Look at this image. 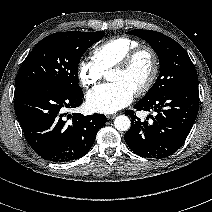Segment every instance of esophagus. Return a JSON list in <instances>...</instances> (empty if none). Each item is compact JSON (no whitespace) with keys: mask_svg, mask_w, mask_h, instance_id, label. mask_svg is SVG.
Segmentation results:
<instances>
[{"mask_svg":"<svg viewBox=\"0 0 212 212\" xmlns=\"http://www.w3.org/2000/svg\"><path fill=\"white\" fill-rule=\"evenodd\" d=\"M116 117V114L107 115L108 119H114Z\"/></svg>","mask_w":212,"mask_h":212,"instance_id":"1","label":"esophagus"}]
</instances>
